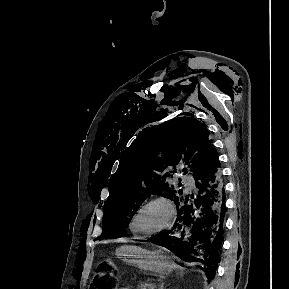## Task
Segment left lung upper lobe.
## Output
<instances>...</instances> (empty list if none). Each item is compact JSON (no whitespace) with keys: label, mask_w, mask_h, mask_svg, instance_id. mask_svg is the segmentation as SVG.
Masks as SVG:
<instances>
[{"label":"left lung upper lobe","mask_w":289,"mask_h":289,"mask_svg":"<svg viewBox=\"0 0 289 289\" xmlns=\"http://www.w3.org/2000/svg\"><path fill=\"white\" fill-rule=\"evenodd\" d=\"M215 150L207 128L192 117H178L139 134L110 179L98 239L120 238L126 223L153 194L176 201L182 190L171 184L173 174L183 175L188 169L194 176Z\"/></svg>","instance_id":"5c2ea615"}]
</instances>
